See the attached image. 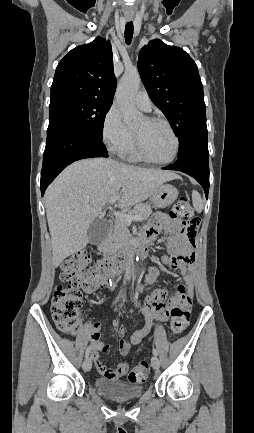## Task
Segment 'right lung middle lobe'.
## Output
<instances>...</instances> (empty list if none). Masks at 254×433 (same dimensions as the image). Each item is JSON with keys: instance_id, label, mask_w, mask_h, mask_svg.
I'll list each match as a JSON object with an SVG mask.
<instances>
[{"instance_id": "right-lung-middle-lobe-1", "label": "right lung middle lobe", "mask_w": 254, "mask_h": 433, "mask_svg": "<svg viewBox=\"0 0 254 433\" xmlns=\"http://www.w3.org/2000/svg\"><path fill=\"white\" fill-rule=\"evenodd\" d=\"M111 105L96 100H64L50 104L49 120L68 122L102 139L105 116Z\"/></svg>"}]
</instances>
